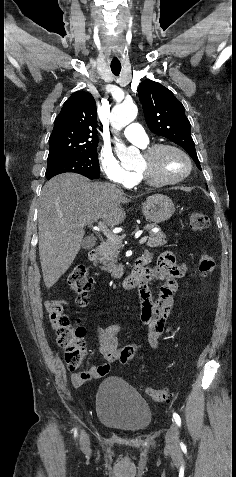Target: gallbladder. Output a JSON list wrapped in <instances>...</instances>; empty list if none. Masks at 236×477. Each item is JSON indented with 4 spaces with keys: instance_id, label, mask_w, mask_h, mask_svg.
I'll return each mask as SVG.
<instances>
[{
    "instance_id": "obj_1",
    "label": "gallbladder",
    "mask_w": 236,
    "mask_h": 477,
    "mask_svg": "<svg viewBox=\"0 0 236 477\" xmlns=\"http://www.w3.org/2000/svg\"><path fill=\"white\" fill-rule=\"evenodd\" d=\"M95 245V241L92 237H85L82 241V248L85 249V250H89L91 249L92 247H94Z\"/></svg>"
}]
</instances>
